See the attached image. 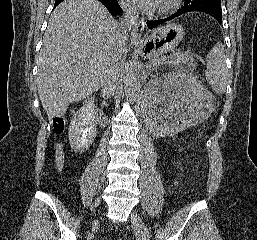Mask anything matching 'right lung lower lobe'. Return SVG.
Segmentation results:
<instances>
[{"label":"right lung lower lobe","instance_id":"right-lung-lower-lobe-1","mask_svg":"<svg viewBox=\"0 0 257 240\" xmlns=\"http://www.w3.org/2000/svg\"><path fill=\"white\" fill-rule=\"evenodd\" d=\"M113 16H117L122 13V9L120 8L117 0H99ZM57 6V5H55Z\"/></svg>","mask_w":257,"mask_h":240}]
</instances>
